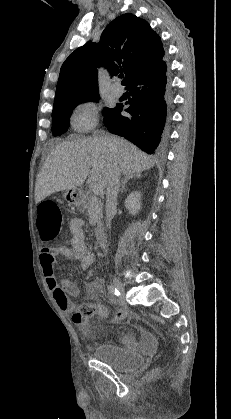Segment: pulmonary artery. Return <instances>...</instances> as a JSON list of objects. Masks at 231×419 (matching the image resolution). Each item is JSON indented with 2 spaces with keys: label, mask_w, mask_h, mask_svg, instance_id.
<instances>
[{
  "label": "pulmonary artery",
  "mask_w": 231,
  "mask_h": 419,
  "mask_svg": "<svg viewBox=\"0 0 231 419\" xmlns=\"http://www.w3.org/2000/svg\"><path fill=\"white\" fill-rule=\"evenodd\" d=\"M111 93L114 97H121L124 93V90L122 88V86L119 83H115L112 87H111Z\"/></svg>",
  "instance_id": "obj_1"
}]
</instances>
